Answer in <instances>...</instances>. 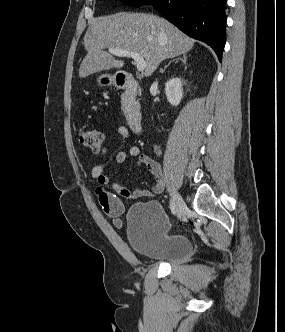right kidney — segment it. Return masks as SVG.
Instances as JSON below:
<instances>
[{"mask_svg":"<svg viewBox=\"0 0 285 332\" xmlns=\"http://www.w3.org/2000/svg\"><path fill=\"white\" fill-rule=\"evenodd\" d=\"M165 94L172 106H177L183 98L182 81L178 77H172L165 84Z\"/></svg>","mask_w":285,"mask_h":332,"instance_id":"1","label":"right kidney"}]
</instances>
